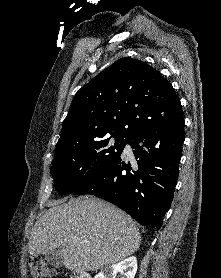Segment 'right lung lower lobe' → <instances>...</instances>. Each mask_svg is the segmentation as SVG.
<instances>
[{
    "instance_id": "1",
    "label": "right lung lower lobe",
    "mask_w": 221,
    "mask_h": 278,
    "mask_svg": "<svg viewBox=\"0 0 221 278\" xmlns=\"http://www.w3.org/2000/svg\"><path fill=\"white\" fill-rule=\"evenodd\" d=\"M184 139V116L138 131L126 138L135 161L121 154L74 193L105 199L143 226L159 229L173 200Z\"/></svg>"
}]
</instances>
